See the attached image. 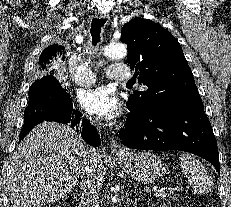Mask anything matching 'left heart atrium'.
I'll list each match as a JSON object with an SVG mask.
<instances>
[{
    "label": "left heart atrium",
    "instance_id": "1",
    "mask_svg": "<svg viewBox=\"0 0 231 207\" xmlns=\"http://www.w3.org/2000/svg\"><path fill=\"white\" fill-rule=\"evenodd\" d=\"M79 103L87 113L106 120L115 118L120 111L118 100L103 87L80 92Z\"/></svg>",
    "mask_w": 231,
    "mask_h": 207
}]
</instances>
